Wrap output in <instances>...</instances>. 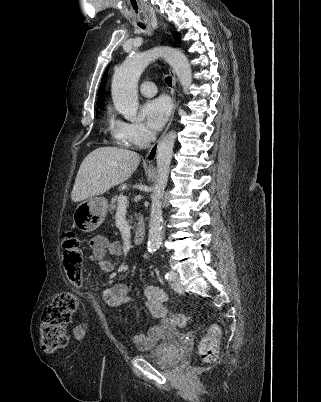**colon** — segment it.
Wrapping results in <instances>:
<instances>
[{
    "label": "colon",
    "mask_w": 321,
    "mask_h": 402,
    "mask_svg": "<svg viewBox=\"0 0 321 402\" xmlns=\"http://www.w3.org/2000/svg\"><path fill=\"white\" fill-rule=\"evenodd\" d=\"M63 265L68 282L75 291L80 292L82 286L83 253L80 238L74 232L66 233L62 243ZM78 307V299L71 292H60L45 307L41 324V346L45 352H54L68 343L67 326ZM177 325L185 326L187 318L183 314H175ZM221 330L217 325L210 328L209 333L199 343V354L206 362H213L218 357Z\"/></svg>",
    "instance_id": "obj_1"
}]
</instances>
